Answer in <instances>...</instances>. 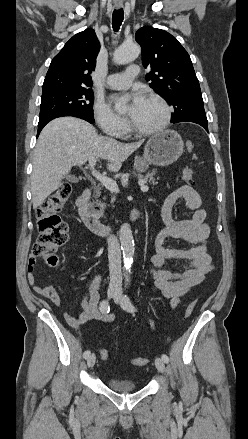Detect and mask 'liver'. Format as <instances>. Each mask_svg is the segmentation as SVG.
<instances>
[{
	"mask_svg": "<svg viewBox=\"0 0 248 439\" xmlns=\"http://www.w3.org/2000/svg\"><path fill=\"white\" fill-rule=\"evenodd\" d=\"M142 143H121L99 136L96 129L82 119L60 117L52 120L41 131L33 153V208L41 206L59 188L61 180L73 166L101 158L108 160L110 171L117 172Z\"/></svg>",
	"mask_w": 248,
	"mask_h": 439,
	"instance_id": "liver-1",
	"label": "liver"
}]
</instances>
